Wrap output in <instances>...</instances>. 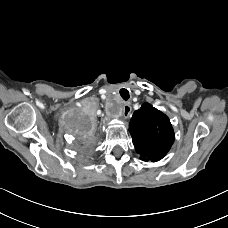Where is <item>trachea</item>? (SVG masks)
Listing matches in <instances>:
<instances>
[{
    "label": "trachea",
    "instance_id": "trachea-1",
    "mask_svg": "<svg viewBox=\"0 0 228 228\" xmlns=\"http://www.w3.org/2000/svg\"><path fill=\"white\" fill-rule=\"evenodd\" d=\"M119 93L124 100H128L130 98L129 92L126 89H121Z\"/></svg>",
    "mask_w": 228,
    "mask_h": 228
}]
</instances>
